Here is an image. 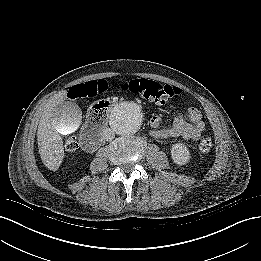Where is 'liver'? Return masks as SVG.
<instances>
[{
	"instance_id": "6515ba94",
	"label": "liver",
	"mask_w": 261,
	"mask_h": 261,
	"mask_svg": "<svg viewBox=\"0 0 261 261\" xmlns=\"http://www.w3.org/2000/svg\"><path fill=\"white\" fill-rule=\"evenodd\" d=\"M66 94V90H61L47 101L38 125L39 154L43 164L52 171L59 168L64 158L63 140L60 134L74 132L78 128L82 117L81 110L78 107V113L70 125L72 127L67 128L64 123L54 116L56 106L65 101Z\"/></svg>"
}]
</instances>
